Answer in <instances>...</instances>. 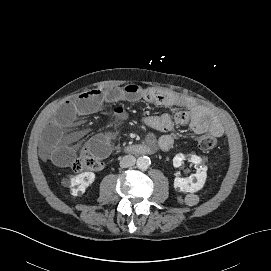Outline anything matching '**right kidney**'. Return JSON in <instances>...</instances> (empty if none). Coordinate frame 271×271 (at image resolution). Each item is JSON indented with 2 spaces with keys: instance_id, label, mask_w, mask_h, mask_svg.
<instances>
[{
  "instance_id": "right-kidney-1",
  "label": "right kidney",
  "mask_w": 271,
  "mask_h": 271,
  "mask_svg": "<svg viewBox=\"0 0 271 271\" xmlns=\"http://www.w3.org/2000/svg\"><path fill=\"white\" fill-rule=\"evenodd\" d=\"M95 174L93 172H84L71 178V194L78 196L83 194L86 189L94 182Z\"/></svg>"
}]
</instances>
